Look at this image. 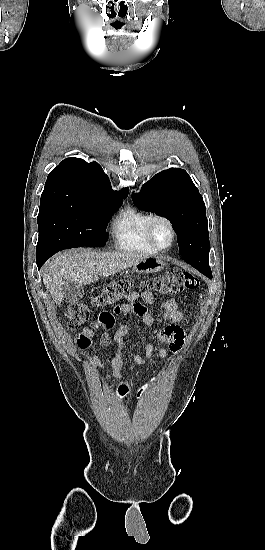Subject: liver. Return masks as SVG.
<instances>
[{
  "instance_id": "obj_1",
  "label": "liver",
  "mask_w": 265,
  "mask_h": 550,
  "mask_svg": "<svg viewBox=\"0 0 265 550\" xmlns=\"http://www.w3.org/2000/svg\"><path fill=\"white\" fill-rule=\"evenodd\" d=\"M147 258L133 253H103L77 248L56 254L46 264L43 283L53 301L63 300L62 289L67 283L88 285L98 281L99 275L108 277Z\"/></svg>"
}]
</instances>
